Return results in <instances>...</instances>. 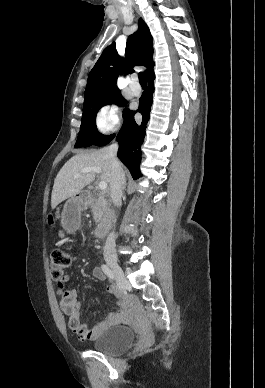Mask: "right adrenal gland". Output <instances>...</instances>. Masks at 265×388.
Segmentation results:
<instances>
[{"label": "right adrenal gland", "instance_id": "2a0ac1e0", "mask_svg": "<svg viewBox=\"0 0 265 388\" xmlns=\"http://www.w3.org/2000/svg\"><path fill=\"white\" fill-rule=\"evenodd\" d=\"M127 184H126V180H124V186H123V190L124 188H126Z\"/></svg>", "mask_w": 265, "mask_h": 388}]
</instances>
